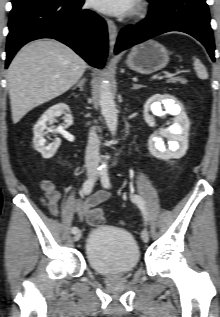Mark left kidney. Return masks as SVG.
<instances>
[{
	"mask_svg": "<svg viewBox=\"0 0 220 317\" xmlns=\"http://www.w3.org/2000/svg\"><path fill=\"white\" fill-rule=\"evenodd\" d=\"M161 104L164 105L167 113L175 116L174 123L152 134L148 140V149L153 156L163 160L179 159L188 149L189 119L173 96L155 94L144 105V119L150 127L155 126V119L149 112L151 111L153 115H161ZM162 138L168 140V147L164 145Z\"/></svg>",
	"mask_w": 220,
	"mask_h": 317,
	"instance_id": "obj_1",
	"label": "left kidney"
}]
</instances>
